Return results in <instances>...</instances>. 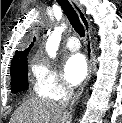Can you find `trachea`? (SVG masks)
<instances>
[{"instance_id":"trachea-1","label":"trachea","mask_w":122,"mask_h":123,"mask_svg":"<svg viewBox=\"0 0 122 123\" xmlns=\"http://www.w3.org/2000/svg\"><path fill=\"white\" fill-rule=\"evenodd\" d=\"M58 4L63 9L64 13L66 14L70 24L74 28V30L81 36H85V30L83 25L81 24L78 15L76 14L75 10L71 6L68 0H57Z\"/></svg>"}]
</instances>
